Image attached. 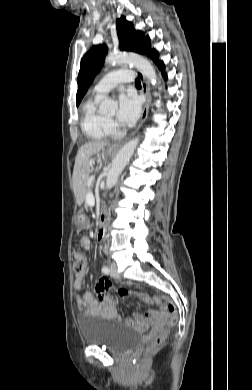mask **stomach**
<instances>
[{
	"instance_id": "obj_1",
	"label": "stomach",
	"mask_w": 252,
	"mask_h": 390,
	"mask_svg": "<svg viewBox=\"0 0 252 390\" xmlns=\"http://www.w3.org/2000/svg\"><path fill=\"white\" fill-rule=\"evenodd\" d=\"M108 152H111V149H108ZM77 225L79 227H84L87 224L86 216L83 213L77 215Z\"/></svg>"
}]
</instances>
